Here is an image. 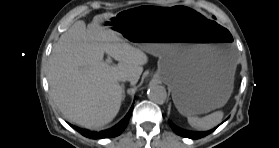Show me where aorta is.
Returning <instances> with one entry per match:
<instances>
[{
  "label": "aorta",
  "mask_w": 279,
  "mask_h": 148,
  "mask_svg": "<svg viewBox=\"0 0 279 148\" xmlns=\"http://www.w3.org/2000/svg\"><path fill=\"white\" fill-rule=\"evenodd\" d=\"M148 98L158 104H162L165 102L167 98L166 89L161 85H152L148 89Z\"/></svg>",
  "instance_id": "762f6f07"
}]
</instances>
